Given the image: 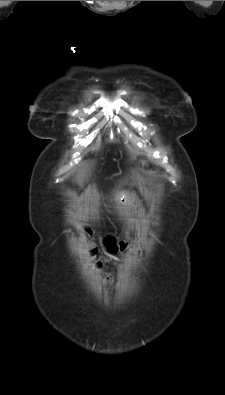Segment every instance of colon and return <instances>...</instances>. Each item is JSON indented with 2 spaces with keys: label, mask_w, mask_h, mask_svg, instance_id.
<instances>
[{
  "label": "colon",
  "mask_w": 225,
  "mask_h": 395,
  "mask_svg": "<svg viewBox=\"0 0 225 395\" xmlns=\"http://www.w3.org/2000/svg\"><path fill=\"white\" fill-rule=\"evenodd\" d=\"M101 277H102V279H103L104 281H108V280L110 279L109 276H108L107 274H102Z\"/></svg>",
  "instance_id": "obj_1"
}]
</instances>
